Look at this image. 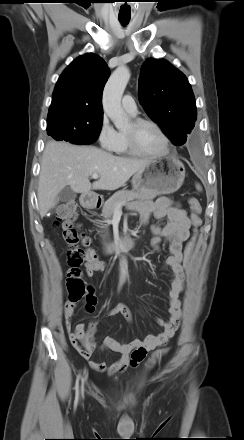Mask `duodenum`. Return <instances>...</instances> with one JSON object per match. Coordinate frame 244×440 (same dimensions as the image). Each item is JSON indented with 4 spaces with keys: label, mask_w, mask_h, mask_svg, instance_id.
I'll return each instance as SVG.
<instances>
[{
    "label": "duodenum",
    "mask_w": 244,
    "mask_h": 440,
    "mask_svg": "<svg viewBox=\"0 0 244 440\" xmlns=\"http://www.w3.org/2000/svg\"><path fill=\"white\" fill-rule=\"evenodd\" d=\"M83 203L86 207L90 209H97L100 206V201L98 198L92 195H86L83 197ZM135 246V240L132 237H127L123 239H117L112 241L106 246L107 254H116L123 252Z\"/></svg>",
    "instance_id": "obj_1"
}]
</instances>
